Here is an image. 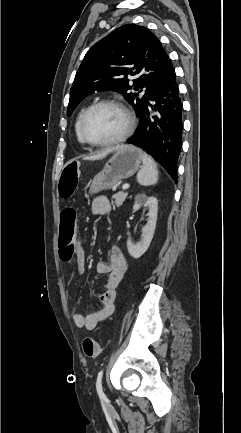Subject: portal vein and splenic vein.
Returning <instances> with one entry per match:
<instances>
[{
    "label": "portal vein and splenic vein",
    "instance_id": "portal-vein-and-splenic-vein-1",
    "mask_svg": "<svg viewBox=\"0 0 241 433\" xmlns=\"http://www.w3.org/2000/svg\"><path fill=\"white\" fill-rule=\"evenodd\" d=\"M129 188V184H124L123 186H122V189L123 190H127Z\"/></svg>",
    "mask_w": 241,
    "mask_h": 433
}]
</instances>
